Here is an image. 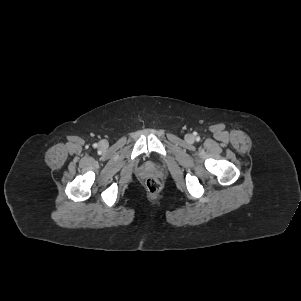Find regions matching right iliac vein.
I'll return each mask as SVG.
<instances>
[{"label":"right iliac vein","instance_id":"right-iliac-vein-1","mask_svg":"<svg viewBox=\"0 0 301 301\" xmlns=\"http://www.w3.org/2000/svg\"><path fill=\"white\" fill-rule=\"evenodd\" d=\"M104 145H105V143H104V142H102V143H101V146H104Z\"/></svg>","mask_w":301,"mask_h":301}]
</instances>
